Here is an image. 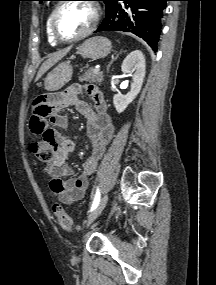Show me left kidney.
<instances>
[{"mask_svg":"<svg viewBox=\"0 0 216 285\" xmlns=\"http://www.w3.org/2000/svg\"><path fill=\"white\" fill-rule=\"evenodd\" d=\"M121 70L132 76L131 90L126 95L115 94L113 104L118 113H122L139 94L145 77V57L140 50L132 51L124 59Z\"/></svg>","mask_w":216,"mask_h":285,"instance_id":"1","label":"left kidney"}]
</instances>
